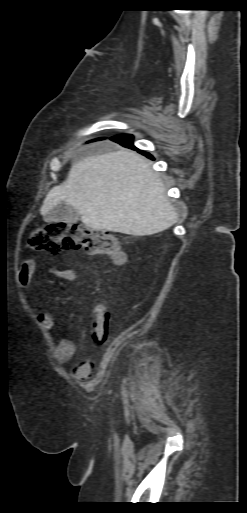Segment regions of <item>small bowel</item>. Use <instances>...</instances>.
Segmentation results:
<instances>
[{
    "label": "small bowel",
    "mask_w": 247,
    "mask_h": 513,
    "mask_svg": "<svg viewBox=\"0 0 247 513\" xmlns=\"http://www.w3.org/2000/svg\"><path fill=\"white\" fill-rule=\"evenodd\" d=\"M35 272V263L33 261H24L19 269V281L23 287H27ZM50 279L74 281L76 274L71 269L58 270L49 275ZM93 315V312H92ZM37 319L43 329L50 332L55 326L54 317L48 312H40ZM75 354V345L70 339H61L54 347V356L58 363H66L72 359ZM91 374V365L87 362H80L73 370V376L76 379H86Z\"/></svg>",
    "instance_id": "small-bowel-1"
}]
</instances>
